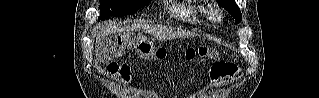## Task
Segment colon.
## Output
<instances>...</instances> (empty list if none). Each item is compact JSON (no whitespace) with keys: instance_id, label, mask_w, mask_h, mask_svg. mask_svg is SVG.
Returning a JSON list of instances; mask_svg holds the SVG:
<instances>
[{"instance_id":"5ec220e1","label":"colon","mask_w":319,"mask_h":98,"mask_svg":"<svg viewBox=\"0 0 319 98\" xmlns=\"http://www.w3.org/2000/svg\"><path fill=\"white\" fill-rule=\"evenodd\" d=\"M116 46L119 53L131 50L136 52L141 58L150 62H162L167 57V51L164 48H157L151 41L146 39L142 34L132 35L124 34L116 39ZM216 53L206 47L197 49L190 48L185 50L181 57L185 61H194L197 59H211ZM110 74L119 75L123 80L130 79L129 70L125 66L118 64H110L108 67ZM238 72V67L235 64L216 61L210 68V78L212 81L222 79H230Z\"/></svg>"}]
</instances>
